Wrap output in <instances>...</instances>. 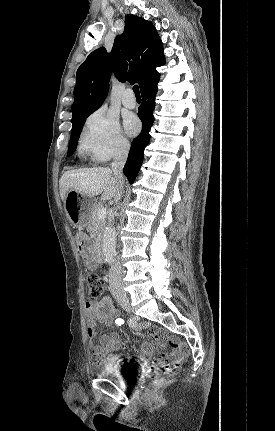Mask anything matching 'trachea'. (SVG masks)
Listing matches in <instances>:
<instances>
[{
	"instance_id": "obj_1",
	"label": "trachea",
	"mask_w": 275,
	"mask_h": 431,
	"mask_svg": "<svg viewBox=\"0 0 275 431\" xmlns=\"http://www.w3.org/2000/svg\"><path fill=\"white\" fill-rule=\"evenodd\" d=\"M133 91H134L136 97H140V91H139L138 85L133 86Z\"/></svg>"
}]
</instances>
